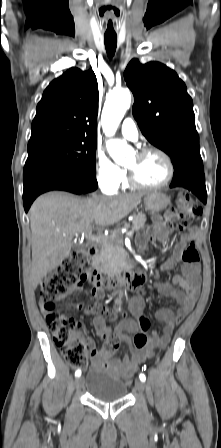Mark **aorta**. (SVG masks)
Returning <instances> with one entry per match:
<instances>
[{"instance_id":"obj_1","label":"aorta","mask_w":221,"mask_h":448,"mask_svg":"<svg viewBox=\"0 0 221 448\" xmlns=\"http://www.w3.org/2000/svg\"><path fill=\"white\" fill-rule=\"evenodd\" d=\"M130 104L131 94L128 89L117 90L107 97L101 118L106 135L115 133ZM106 147L112 159L119 165H124L132 152L126 142L119 140H108Z\"/></svg>"}]
</instances>
